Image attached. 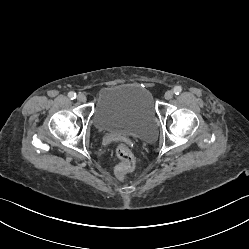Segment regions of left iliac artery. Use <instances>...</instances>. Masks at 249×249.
Wrapping results in <instances>:
<instances>
[{
  "label": "left iliac artery",
  "instance_id": "44dca946",
  "mask_svg": "<svg viewBox=\"0 0 249 249\" xmlns=\"http://www.w3.org/2000/svg\"><path fill=\"white\" fill-rule=\"evenodd\" d=\"M173 91L176 95H178L182 91V88L180 86H176L174 87Z\"/></svg>",
  "mask_w": 249,
  "mask_h": 249
}]
</instances>
